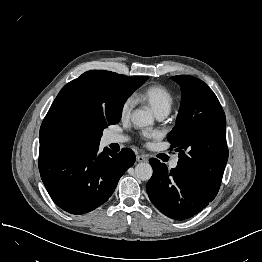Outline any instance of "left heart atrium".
Segmentation results:
<instances>
[{
    "label": "left heart atrium",
    "instance_id": "left-heart-atrium-1",
    "mask_svg": "<svg viewBox=\"0 0 262 262\" xmlns=\"http://www.w3.org/2000/svg\"><path fill=\"white\" fill-rule=\"evenodd\" d=\"M147 136H153V134H146Z\"/></svg>",
    "mask_w": 262,
    "mask_h": 262
}]
</instances>
